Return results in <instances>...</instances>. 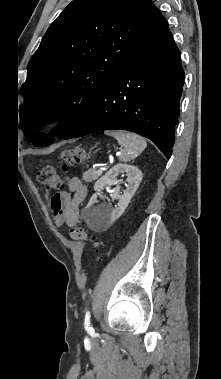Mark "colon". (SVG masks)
<instances>
[{"label":"colon","instance_id":"colon-1","mask_svg":"<svg viewBox=\"0 0 221 379\" xmlns=\"http://www.w3.org/2000/svg\"><path fill=\"white\" fill-rule=\"evenodd\" d=\"M63 172H67L69 167L74 163L83 161L86 158L85 152L82 149L74 148L63 152ZM38 181L43 184L46 189L49 190H60L63 188L65 180L60 176L54 167L45 166L37 172ZM70 236L74 240L78 241H89L92 243L94 248L98 247L99 242L88 235L86 230L80 226L71 228Z\"/></svg>","mask_w":221,"mask_h":379}]
</instances>
